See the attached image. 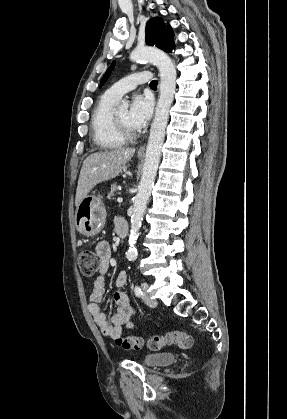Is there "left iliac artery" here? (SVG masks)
<instances>
[{"label":"left iliac artery","mask_w":287,"mask_h":419,"mask_svg":"<svg viewBox=\"0 0 287 419\" xmlns=\"http://www.w3.org/2000/svg\"><path fill=\"white\" fill-rule=\"evenodd\" d=\"M134 293L137 297H140L142 295V290L138 285L135 286Z\"/></svg>","instance_id":"44dca946"}]
</instances>
